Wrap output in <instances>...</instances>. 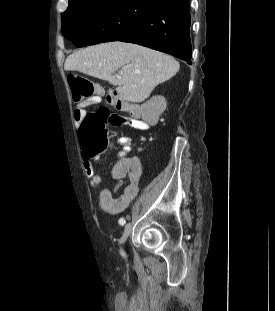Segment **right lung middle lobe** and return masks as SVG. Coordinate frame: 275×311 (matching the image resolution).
Listing matches in <instances>:
<instances>
[{"label":"right lung middle lobe","mask_w":275,"mask_h":311,"mask_svg":"<svg viewBox=\"0 0 275 311\" xmlns=\"http://www.w3.org/2000/svg\"><path fill=\"white\" fill-rule=\"evenodd\" d=\"M161 0H83L69 3L62 32L76 47L114 41Z\"/></svg>","instance_id":"right-lung-middle-lobe-1"}]
</instances>
